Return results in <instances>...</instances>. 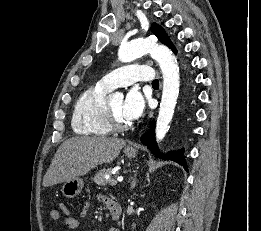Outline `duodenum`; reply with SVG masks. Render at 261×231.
Wrapping results in <instances>:
<instances>
[{"label": "duodenum", "mask_w": 261, "mask_h": 231, "mask_svg": "<svg viewBox=\"0 0 261 231\" xmlns=\"http://www.w3.org/2000/svg\"><path fill=\"white\" fill-rule=\"evenodd\" d=\"M108 210L110 212V215L113 219H117L119 218L120 214H121V205L118 202L115 201H110L107 204Z\"/></svg>", "instance_id": "duodenum-1"}]
</instances>
